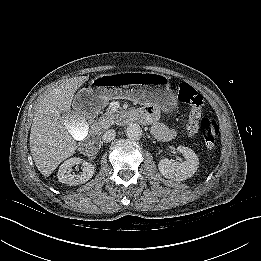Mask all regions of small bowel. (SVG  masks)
Masks as SVG:
<instances>
[{"mask_svg": "<svg viewBox=\"0 0 261 261\" xmlns=\"http://www.w3.org/2000/svg\"><path fill=\"white\" fill-rule=\"evenodd\" d=\"M135 117L144 123L152 124L153 135L161 141H170L176 136V131L173 128L166 126L163 123L155 122V118L158 114V109L154 105H148L140 109H136Z\"/></svg>", "mask_w": 261, "mask_h": 261, "instance_id": "c3829d8e", "label": "small bowel"}]
</instances>
